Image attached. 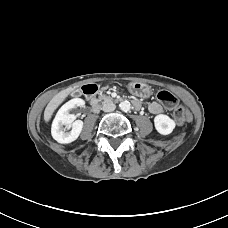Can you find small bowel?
Wrapping results in <instances>:
<instances>
[{
    "label": "small bowel",
    "instance_id": "1",
    "mask_svg": "<svg viewBox=\"0 0 228 228\" xmlns=\"http://www.w3.org/2000/svg\"><path fill=\"white\" fill-rule=\"evenodd\" d=\"M135 108L137 109H140L142 107V104L140 101H134L133 102ZM147 108L149 110L150 113L152 114H161L163 111H164V108L161 104H159L158 102H150L148 105H147Z\"/></svg>",
    "mask_w": 228,
    "mask_h": 228
}]
</instances>
